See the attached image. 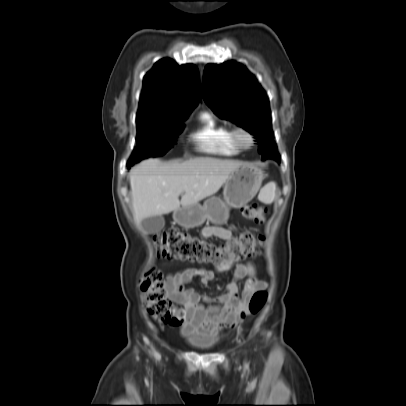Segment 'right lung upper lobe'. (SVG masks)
<instances>
[{
  "label": "right lung upper lobe",
  "mask_w": 406,
  "mask_h": 406,
  "mask_svg": "<svg viewBox=\"0 0 406 406\" xmlns=\"http://www.w3.org/2000/svg\"><path fill=\"white\" fill-rule=\"evenodd\" d=\"M199 96V73L193 64L159 60L143 79L137 117L184 120Z\"/></svg>",
  "instance_id": "right-lung-upper-lobe-1"
}]
</instances>
